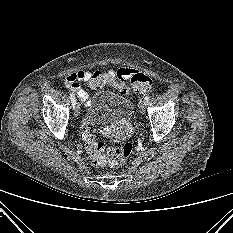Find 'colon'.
<instances>
[{"label":"colon","instance_id":"obj_1","mask_svg":"<svg viewBox=\"0 0 233 233\" xmlns=\"http://www.w3.org/2000/svg\"><path fill=\"white\" fill-rule=\"evenodd\" d=\"M105 85H110L118 89L122 94L127 93L128 87L116 76L95 71L89 79L88 86L91 89H99ZM152 85L149 76L141 72H135L131 77V87L139 92H147ZM83 139L89 158L97 166H116L123 165L130 157L133 147L130 143L106 149L105 145L98 141L92 128L87 126L83 132Z\"/></svg>","mask_w":233,"mask_h":233}]
</instances>
